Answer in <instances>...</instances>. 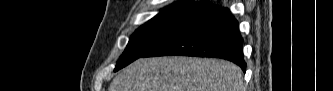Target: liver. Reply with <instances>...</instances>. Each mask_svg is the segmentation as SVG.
Instances as JSON below:
<instances>
[{"instance_id": "6515ba94", "label": "liver", "mask_w": 333, "mask_h": 91, "mask_svg": "<svg viewBox=\"0 0 333 91\" xmlns=\"http://www.w3.org/2000/svg\"><path fill=\"white\" fill-rule=\"evenodd\" d=\"M108 91H245L242 70L219 59L141 58L111 82Z\"/></svg>"}]
</instances>
